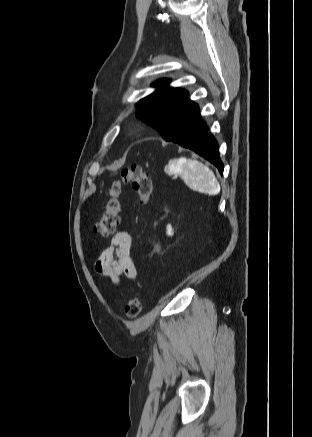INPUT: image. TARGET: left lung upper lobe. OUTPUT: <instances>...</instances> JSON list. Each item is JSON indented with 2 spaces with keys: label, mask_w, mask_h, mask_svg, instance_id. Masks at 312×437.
I'll return each instance as SVG.
<instances>
[{
  "label": "left lung upper lobe",
  "mask_w": 312,
  "mask_h": 437,
  "mask_svg": "<svg viewBox=\"0 0 312 437\" xmlns=\"http://www.w3.org/2000/svg\"><path fill=\"white\" fill-rule=\"evenodd\" d=\"M169 80L162 79L153 86L156 91L139 101L141 109L136 116L155 128L166 141L174 142L200 116L199 107L187 96L184 89L168 86Z\"/></svg>",
  "instance_id": "5c2ea615"
}]
</instances>
